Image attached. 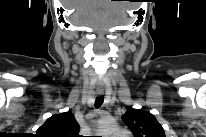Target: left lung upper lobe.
I'll list each match as a JSON object with an SVG mask.
<instances>
[{
	"instance_id": "1",
	"label": "left lung upper lobe",
	"mask_w": 206,
	"mask_h": 137,
	"mask_svg": "<svg viewBox=\"0 0 206 137\" xmlns=\"http://www.w3.org/2000/svg\"><path fill=\"white\" fill-rule=\"evenodd\" d=\"M134 137H166L163 127L150 112L130 108L122 116Z\"/></svg>"
}]
</instances>
